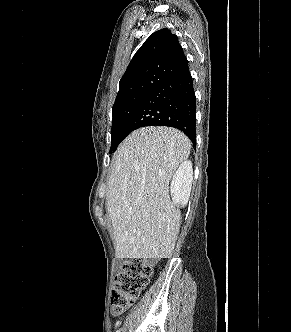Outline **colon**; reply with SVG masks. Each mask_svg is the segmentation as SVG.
Returning <instances> with one entry per match:
<instances>
[{
	"label": "colon",
	"instance_id": "obj_1",
	"mask_svg": "<svg viewBox=\"0 0 291 332\" xmlns=\"http://www.w3.org/2000/svg\"><path fill=\"white\" fill-rule=\"evenodd\" d=\"M152 268L139 258L124 259L115 275L111 292V307L114 314L123 313L146 287Z\"/></svg>",
	"mask_w": 291,
	"mask_h": 332
}]
</instances>
